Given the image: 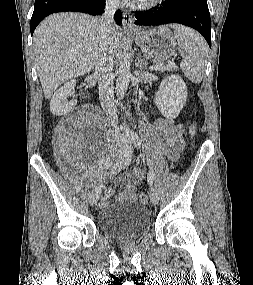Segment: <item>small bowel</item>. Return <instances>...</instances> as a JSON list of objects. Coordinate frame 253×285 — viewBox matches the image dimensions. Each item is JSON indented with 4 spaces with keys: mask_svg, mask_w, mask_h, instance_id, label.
<instances>
[{
    "mask_svg": "<svg viewBox=\"0 0 253 285\" xmlns=\"http://www.w3.org/2000/svg\"><path fill=\"white\" fill-rule=\"evenodd\" d=\"M154 129L164 139L163 150L169 160L176 161L184 146L182 138L184 131L183 126L171 119L158 117L154 122ZM141 180L142 173L139 169L136 170L134 178H129L127 176L118 178V182L125 185V190L118 196V200H135L137 185ZM114 194L115 190L113 188H108L101 200V205L107 206Z\"/></svg>",
    "mask_w": 253,
    "mask_h": 285,
    "instance_id": "obj_1",
    "label": "small bowel"
}]
</instances>
